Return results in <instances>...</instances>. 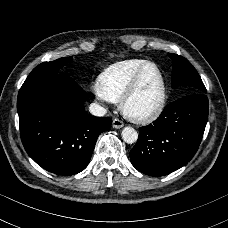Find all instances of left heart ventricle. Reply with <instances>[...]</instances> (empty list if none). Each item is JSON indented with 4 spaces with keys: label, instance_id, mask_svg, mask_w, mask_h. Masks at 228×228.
<instances>
[{
    "label": "left heart ventricle",
    "instance_id": "1",
    "mask_svg": "<svg viewBox=\"0 0 228 228\" xmlns=\"http://www.w3.org/2000/svg\"><path fill=\"white\" fill-rule=\"evenodd\" d=\"M161 101V78L156 69L150 68L140 85L136 96L130 102V108L137 113H149L155 110Z\"/></svg>",
    "mask_w": 228,
    "mask_h": 228
}]
</instances>
